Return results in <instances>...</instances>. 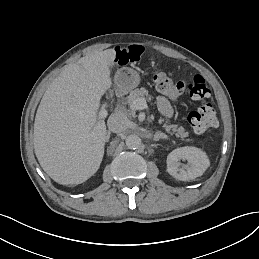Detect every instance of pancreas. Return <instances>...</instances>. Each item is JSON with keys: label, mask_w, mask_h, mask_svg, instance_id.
<instances>
[{"label": "pancreas", "mask_w": 259, "mask_h": 259, "mask_svg": "<svg viewBox=\"0 0 259 259\" xmlns=\"http://www.w3.org/2000/svg\"><path fill=\"white\" fill-rule=\"evenodd\" d=\"M136 98L148 99V101L150 102V100L153 99V96L148 95V91L144 87H142V88L134 89L129 94L127 101L128 103H130ZM150 104L154 105L155 103L150 102ZM158 121L159 123H163V128L166 130V132L170 135H175L176 139H179L180 141H185V142L192 141V139L190 138L184 139L185 137H189V133L185 130L183 126L172 124L173 122L167 117H160Z\"/></svg>", "instance_id": "pancreas-1"}]
</instances>
